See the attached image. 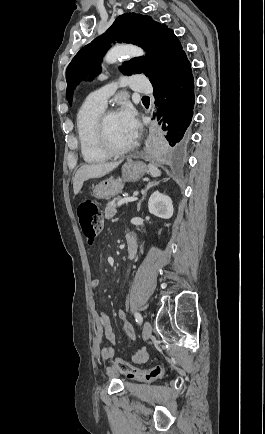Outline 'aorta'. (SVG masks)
<instances>
[{
    "instance_id": "1",
    "label": "aorta",
    "mask_w": 265,
    "mask_h": 434,
    "mask_svg": "<svg viewBox=\"0 0 265 434\" xmlns=\"http://www.w3.org/2000/svg\"><path fill=\"white\" fill-rule=\"evenodd\" d=\"M125 54H130V56H144L143 50L136 48V46H125V48H111L107 52L104 60L106 64H116L120 56H125Z\"/></svg>"
}]
</instances>
